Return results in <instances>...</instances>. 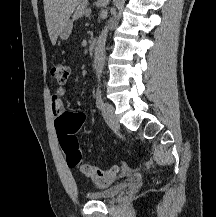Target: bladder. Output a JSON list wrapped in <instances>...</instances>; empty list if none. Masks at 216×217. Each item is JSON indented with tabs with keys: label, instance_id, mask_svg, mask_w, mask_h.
Wrapping results in <instances>:
<instances>
[{
	"label": "bladder",
	"instance_id": "bladder-1",
	"mask_svg": "<svg viewBox=\"0 0 216 217\" xmlns=\"http://www.w3.org/2000/svg\"><path fill=\"white\" fill-rule=\"evenodd\" d=\"M127 187L128 183H118L109 186L102 191L88 192L86 196L94 201L108 202L120 196L127 189Z\"/></svg>",
	"mask_w": 216,
	"mask_h": 217
}]
</instances>
